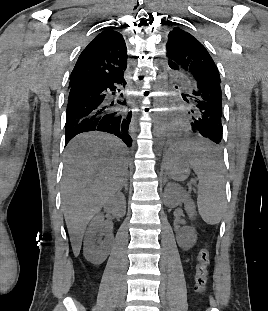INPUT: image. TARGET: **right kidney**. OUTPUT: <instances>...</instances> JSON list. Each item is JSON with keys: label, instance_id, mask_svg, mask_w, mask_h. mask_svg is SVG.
<instances>
[{"label": "right kidney", "instance_id": "ca27d5eb", "mask_svg": "<svg viewBox=\"0 0 268 311\" xmlns=\"http://www.w3.org/2000/svg\"><path fill=\"white\" fill-rule=\"evenodd\" d=\"M105 211L111 213L114 216L122 217L126 213V201L120 192H118L104 207ZM104 227V215L103 213L97 214L88 227L84 238V256L94 265L102 264L109 255L110 245L113 235L108 232L104 241L97 242L103 234L102 229Z\"/></svg>", "mask_w": 268, "mask_h": 311}]
</instances>
